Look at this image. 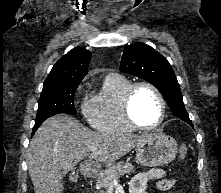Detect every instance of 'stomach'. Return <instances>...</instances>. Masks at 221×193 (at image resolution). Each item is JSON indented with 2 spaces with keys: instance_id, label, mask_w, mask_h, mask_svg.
<instances>
[{
  "instance_id": "stomach-1",
  "label": "stomach",
  "mask_w": 221,
  "mask_h": 193,
  "mask_svg": "<svg viewBox=\"0 0 221 193\" xmlns=\"http://www.w3.org/2000/svg\"><path fill=\"white\" fill-rule=\"evenodd\" d=\"M177 150V142L173 138L153 134L136 147V159L143 166H163L174 160ZM81 170L83 173L97 174V171L83 169L82 166Z\"/></svg>"
}]
</instances>
